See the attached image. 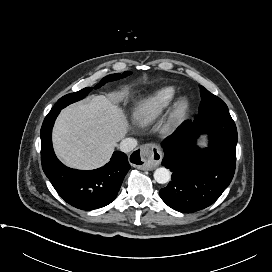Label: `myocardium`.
I'll return each mask as SVG.
<instances>
[{
	"mask_svg": "<svg viewBox=\"0 0 272 272\" xmlns=\"http://www.w3.org/2000/svg\"><path fill=\"white\" fill-rule=\"evenodd\" d=\"M188 107H189L188 98L185 96L179 97L173 105V109L171 112L172 118H177L182 116L187 111Z\"/></svg>",
	"mask_w": 272,
	"mask_h": 272,
	"instance_id": "obj_1",
	"label": "myocardium"
}]
</instances>
